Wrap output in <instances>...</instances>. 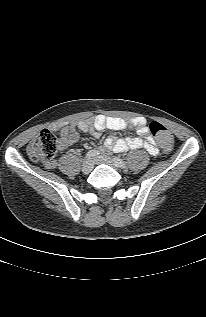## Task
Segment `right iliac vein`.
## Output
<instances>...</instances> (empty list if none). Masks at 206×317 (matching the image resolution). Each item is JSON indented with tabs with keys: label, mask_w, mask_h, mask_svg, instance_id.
Returning <instances> with one entry per match:
<instances>
[{
	"label": "right iliac vein",
	"mask_w": 206,
	"mask_h": 317,
	"mask_svg": "<svg viewBox=\"0 0 206 317\" xmlns=\"http://www.w3.org/2000/svg\"><path fill=\"white\" fill-rule=\"evenodd\" d=\"M93 169V162L91 160H85L82 165V172L88 174Z\"/></svg>",
	"instance_id": "1"
}]
</instances>
